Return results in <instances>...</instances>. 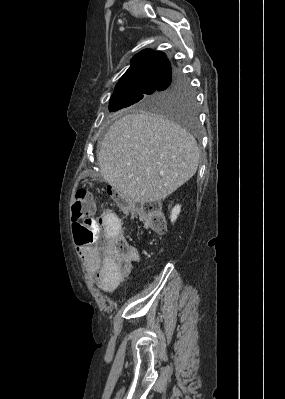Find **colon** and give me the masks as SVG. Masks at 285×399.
Returning <instances> with one entry per match:
<instances>
[{
	"label": "colon",
	"instance_id": "obj_1",
	"mask_svg": "<svg viewBox=\"0 0 285 399\" xmlns=\"http://www.w3.org/2000/svg\"><path fill=\"white\" fill-rule=\"evenodd\" d=\"M107 194L111 198H119L117 192L113 190H109ZM120 203L126 211L136 214L139 219L152 230L159 232L165 230V218L159 202L151 201L142 205H137L121 199ZM95 206L91 191L83 187L76 190L71 212L73 214L72 231L75 241L78 243L83 244L91 241H101L94 231H87L86 238L81 236V231L85 230L84 225H89L93 221ZM106 255L112 261L119 274L127 275L130 273L134 261V254L131 247L124 241L121 232H117L106 241Z\"/></svg>",
	"mask_w": 285,
	"mask_h": 399
}]
</instances>
